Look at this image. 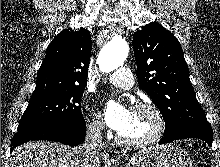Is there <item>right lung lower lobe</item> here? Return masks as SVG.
Listing matches in <instances>:
<instances>
[{
  "label": "right lung lower lobe",
  "instance_id": "right-lung-lower-lobe-1",
  "mask_svg": "<svg viewBox=\"0 0 220 167\" xmlns=\"http://www.w3.org/2000/svg\"><path fill=\"white\" fill-rule=\"evenodd\" d=\"M85 134V121L75 126H45L36 129L18 131L12 139L11 151L16 146H19L30 140H50L74 146L83 142Z\"/></svg>",
  "mask_w": 220,
  "mask_h": 167
}]
</instances>
